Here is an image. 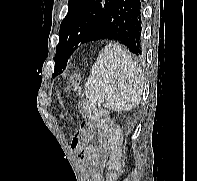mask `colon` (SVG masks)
I'll use <instances>...</instances> for the list:
<instances>
[{"label":"colon","mask_w":197,"mask_h":181,"mask_svg":"<svg viewBox=\"0 0 197 181\" xmlns=\"http://www.w3.org/2000/svg\"><path fill=\"white\" fill-rule=\"evenodd\" d=\"M80 77L74 75L70 79V88L77 89L80 86ZM79 110L88 123L94 124L96 129L105 137L109 154L107 157V181H114L121 174V130L108 118L107 113L94 103L82 99Z\"/></svg>","instance_id":"obj_1"}]
</instances>
